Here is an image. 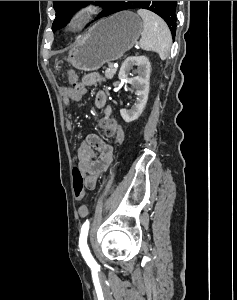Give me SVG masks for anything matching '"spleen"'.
<instances>
[{
  "instance_id": "obj_1",
  "label": "spleen",
  "mask_w": 237,
  "mask_h": 300,
  "mask_svg": "<svg viewBox=\"0 0 237 300\" xmlns=\"http://www.w3.org/2000/svg\"><path fill=\"white\" fill-rule=\"evenodd\" d=\"M137 15L143 21V31L139 45L144 51H155L161 61H165L169 55L172 39L169 27L165 21L146 9H139Z\"/></svg>"
}]
</instances>
